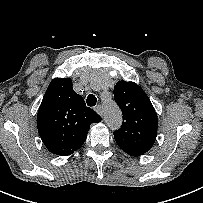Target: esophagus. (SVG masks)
Listing matches in <instances>:
<instances>
[{
  "label": "esophagus",
  "instance_id": "34e87169",
  "mask_svg": "<svg viewBox=\"0 0 203 203\" xmlns=\"http://www.w3.org/2000/svg\"><path fill=\"white\" fill-rule=\"evenodd\" d=\"M95 111H96L100 116L103 115V111H102V106H101V105H97V106L95 107Z\"/></svg>",
  "mask_w": 203,
  "mask_h": 203
}]
</instances>
